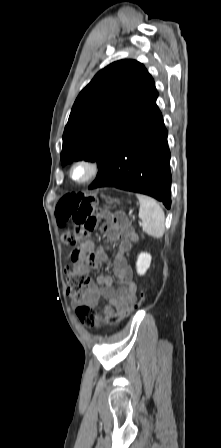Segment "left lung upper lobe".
Segmentation results:
<instances>
[{
  "instance_id": "obj_1",
  "label": "left lung upper lobe",
  "mask_w": 221,
  "mask_h": 448,
  "mask_svg": "<svg viewBox=\"0 0 221 448\" xmlns=\"http://www.w3.org/2000/svg\"><path fill=\"white\" fill-rule=\"evenodd\" d=\"M157 97L153 78L135 60L116 61L99 71L72 107L63 134L62 165L84 159L102 168Z\"/></svg>"
}]
</instances>
